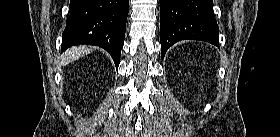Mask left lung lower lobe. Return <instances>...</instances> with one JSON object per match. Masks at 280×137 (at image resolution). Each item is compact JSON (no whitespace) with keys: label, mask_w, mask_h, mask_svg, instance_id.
Wrapping results in <instances>:
<instances>
[{"label":"left lung lower lobe","mask_w":280,"mask_h":137,"mask_svg":"<svg viewBox=\"0 0 280 137\" xmlns=\"http://www.w3.org/2000/svg\"><path fill=\"white\" fill-rule=\"evenodd\" d=\"M161 58L176 42L201 40L219 47L213 0H160Z\"/></svg>","instance_id":"1"}]
</instances>
